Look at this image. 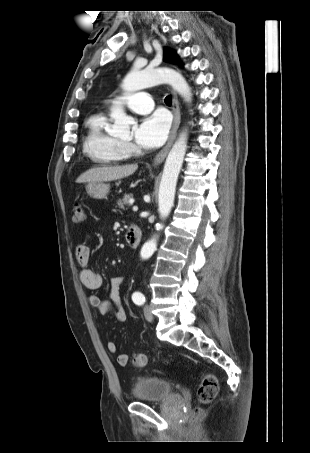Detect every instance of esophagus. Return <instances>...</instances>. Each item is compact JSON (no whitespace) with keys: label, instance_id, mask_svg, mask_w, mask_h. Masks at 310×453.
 <instances>
[{"label":"esophagus","instance_id":"1","mask_svg":"<svg viewBox=\"0 0 310 453\" xmlns=\"http://www.w3.org/2000/svg\"><path fill=\"white\" fill-rule=\"evenodd\" d=\"M172 95H173L172 112H173V116H174L173 125H172L171 131H170V135H169L167 144L154 158V161H153L154 166H158L164 161L165 157L167 156V154L176 138L177 130L180 125L181 114H180L178 97H177L176 92L173 90H172Z\"/></svg>","mask_w":310,"mask_h":453}]
</instances>
